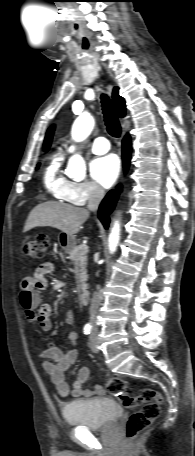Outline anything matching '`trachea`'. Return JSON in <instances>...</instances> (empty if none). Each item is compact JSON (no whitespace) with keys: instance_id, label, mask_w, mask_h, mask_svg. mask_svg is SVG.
Segmentation results:
<instances>
[{"instance_id":"obj_1","label":"trachea","mask_w":195,"mask_h":456,"mask_svg":"<svg viewBox=\"0 0 195 456\" xmlns=\"http://www.w3.org/2000/svg\"><path fill=\"white\" fill-rule=\"evenodd\" d=\"M101 102L108 133L113 137H119L121 134V126L111 100L106 94H102Z\"/></svg>"}]
</instances>
